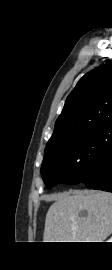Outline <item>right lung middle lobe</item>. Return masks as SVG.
Listing matches in <instances>:
<instances>
[{"label": "right lung middle lobe", "mask_w": 112, "mask_h": 270, "mask_svg": "<svg viewBox=\"0 0 112 270\" xmlns=\"http://www.w3.org/2000/svg\"><path fill=\"white\" fill-rule=\"evenodd\" d=\"M112 146V123L104 124L62 144L45 149L41 174L47 188L77 184L93 169L98 157Z\"/></svg>", "instance_id": "dd1d6c3e"}]
</instances>
